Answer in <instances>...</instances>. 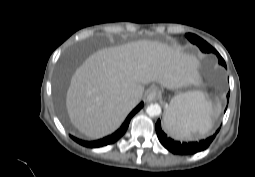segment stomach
<instances>
[{"label": "stomach", "mask_w": 255, "mask_h": 177, "mask_svg": "<svg viewBox=\"0 0 255 177\" xmlns=\"http://www.w3.org/2000/svg\"><path fill=\"white\" fill-rule=\"evenodd\" d=\"M170 109H171V107L169 106L168 109H167L166 114L170 111ZM165 117H166V115H165Z\"/></svg>", "instance_id": "1"}]
</instances>
